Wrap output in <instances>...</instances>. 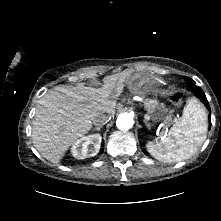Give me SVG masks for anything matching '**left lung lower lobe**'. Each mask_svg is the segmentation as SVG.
I'll return each instance as SVG.
<instances>
[{
    "instance_id": "left-lung-lower-lobe-1",
    "label": "left lung lower lobe",
    "mask_w": 221,
    "mask_h": 221,
    "mask_svg": "<svg viewBox=\"0 0 221 221\" xmlns=\"http://www.w3.org/2000/svg\"><path fill=\"white\" fill-rule=\"evenodd\" d=\"M189 85L190 86L188 89L191 90L204 103L207 109H210L209 103L202 89L196 86L195 84H189ZM210 128H211V114H209V130Z\"/></svg>"
}]
</instances>
